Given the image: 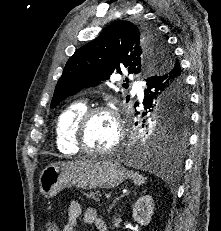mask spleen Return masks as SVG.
<instances>
[{
	"label": "spleen",
	"instance_id": "spleen-1",
	"mask_svg": "<svg viewBox=\"0 0 221 231\" xmlns=\"http://www.w3.org/2000/svg\"><path fill=\"white\" fill-rule=\"evenodd\" d=\"M129 174H130L131 177L133 178L134 183H135L136 185L144 184L145 181L147 180V178L144 177L142 174H139V172L129 171Z\"/></svg>",
	"mask_w": 221,
	"mask_h": 231
}]
</instances>
